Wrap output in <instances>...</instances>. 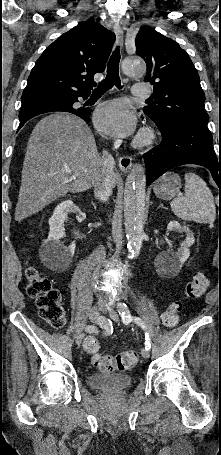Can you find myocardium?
Returning <instances> with one entry per match:
<instances>
[{"label":"myocardium","mask_w":221,"mask_h":455,"mask_svg":"<svg viewBox=\"0 0 221 455\" xmlns=\"http://www.w3.org/2000/svg\"><path fill=\"white\" fill-rule=\"evenodd\" d=\"M156 139L155 131L150 127H144L134 140V146L141 148L151 145Z\"/></svg>","instance_id":"1"}]
</instances>
